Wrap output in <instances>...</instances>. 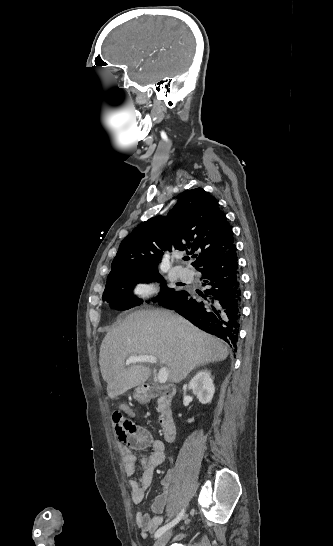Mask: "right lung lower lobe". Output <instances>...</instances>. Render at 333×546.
I'll list each match as a JSON object with an SVG mask.
<instances>
[{"label": "right lung lower lobe", "mask_w": 333, "mask_h": 546, "mask_svg": "<svg viewBox=\"0 0 333 546\" xmlns=\"http://www.w3.org/2000/svg\"><path fill=\"white\" fill-rule=\"evenodd\" d=\"M198 271L203 275L202 285L208 286L204 300L182 290L158 301L159 305L223 339L236 352L242 295L235 245Z\"/></svg>", "instance_id": "1"}]
</instances>
